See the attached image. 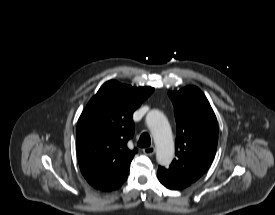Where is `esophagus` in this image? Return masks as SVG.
Instances as JSON below:
<instances>
[{
	"label": "esophagus",
	"mask_w": 275,
	"mask_h": 215,
	"mask_svg": "<svg viewBox=\"0 0 275 215\" xmlns=\"http://www.w3.org/2000/svg\"><path fill=\"white\" fill-rule=\"evenodd\" d=\"M143 153L146 154V155H149V156L153 155L155 153L154 146L144 148Z\"/></svg>",
	"instance_id": "1"
}]
</instances>
